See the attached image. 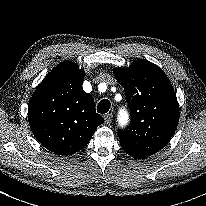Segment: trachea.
Listing matches in <instances>:
<instances>
[{
    "label": "trachea",
    "instance_id": "obj_1",
    "mask_svg": "<svg viewBox=\"0 0 206 206\" xmlns=\"http://www.w3.org/2000/svg\"><path fill=\"white\" fill-rule=\"evenodd\" d=\"M110 106V101L108 99H103L99 102L97 106V111L101 114L107 113L110 109Z\"/></svg>",
    "mask_w": 206,
    "mask_h": 206
}]
</instances>
